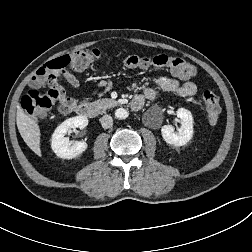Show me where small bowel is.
<instances>
[{
    "label": "small bowel",
    "instance_id": "small-bowel-1",
    "mask_svg": "<svg viewBox=\"0 0 252 252\" xmlns=\"http://www.w3.org/2000/svg\"><path fill=\"white\" fill-rule=\"evenodd\" d=\"M62 77L65 81L72 86L75 90H79L80 82L79 79L72 73L63 71ZM155 83L158 85L160 89L166 92L175 93L180 97H190L193 96L197 92V86L192 81H186L180 83L177 79L173 77H168L164 75H159L155 78ZM111 88V83L108 81H101L97 85L96 92L101 94ZM143 100H153L156 97V91L153 88H145L143 93L140 96ZM75 107V102L72 99L66 98L65 103L59 104V110L62 113H68L72 111Z\"/></svg>",
    "mask_w": 252,
    "mask_h": 252
}]
</instances>
